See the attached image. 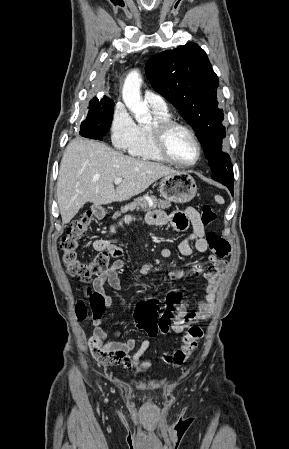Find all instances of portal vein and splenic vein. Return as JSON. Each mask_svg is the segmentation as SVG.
Instances as JSON below:
<instances>
[{"mask_svg":"<svg viewBox=\"0 0 289 449\" xmlns=\"http://www.w3.org/2000/svg\"><path fill=\"white\" fill-rule=\"evenodd\" d=\"M122 181H123L122 178H116V179L114 180V183H115L116 185H119Z\"/></svg>","mask_w":289,"mask_h":449,"instance_id":"1","label":"portal vein and splenic vein"}]
</instances>
